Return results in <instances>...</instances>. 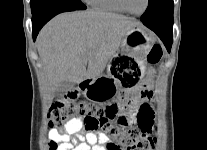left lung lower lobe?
Instances as JSON below:
<instances>
[{
	"label": "left lung lower lobe",
	"mask_w": 207,
	"mask_h": 150,
	"mask_svg": "<svg viewBox=\"0 0 207 150\" xmlns=\"http://www.w3.org/2000/svg\"><path fill=\"white\" fill-rule=\"evenodd\" d=\"M142 22L159 36L168 52H170L173 41V14L157 20Z\"/></svg>",
	"instance_id": "left-lung-lower-lobe-1"
}]
</instances>
